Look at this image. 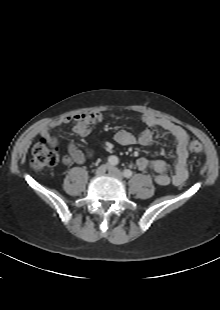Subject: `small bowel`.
I'll return each mask as SVG.
<instances>
[{
	"label": "small bowel",
	"mask_w": 220,
	"mask_h": 310,
	"mask_svg": "<svg viewBox=\"0 0 220 310\" xmlns=\"http://www.w3.org/2000/svg\"><path fill=\"white\" fill-rule=\"evenodd\" d=\"M141 120L147 128L139 135L126 129H120L114 134V141L120 145H142L147 146L152 143L154 138V128H161L169 134L175 143L176 159L174 162V172L168 174V164L163 160H149L145 157L138 158L137 168L147 173L154 171L153 180L157 185L166 186L173 184L182 185L189 176V134L180 125L154 115L143 114ZM103 121V115L100 112L79 113L73 116L55 119L44 125L40 130V137L52 146H57L58 140L52 136L54 128L63 124L71 123L72 131L75 135L85 137L91 133L93 128ZM68 153L62 157L65 165L82 164L92 156L91 152L84 153L74 143L68 144Z\"/></svg>",
	"instance_id": "small-bowel-1"
}]
</instances>
